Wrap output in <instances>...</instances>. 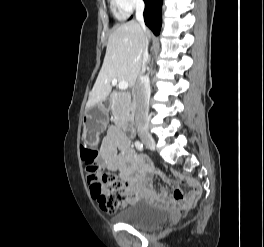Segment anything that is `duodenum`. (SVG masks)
Segmentation results:
<instances>
[{"instance_id":"obj_1","label":"duodenum","mask_w":264,"mask_h":247,"mask_svg":"<svg viewBox=\"0 0 264 247\" xmlns=\"http://www.w3.org/2000/svg\"><path fill=\"white\" fill-rule=\"evenodd\" d=\"M123 128L126 132H128L130 135H133L135 132L134 124L131 121H128L123 125Z\"/></svg>"}]
</instances>
